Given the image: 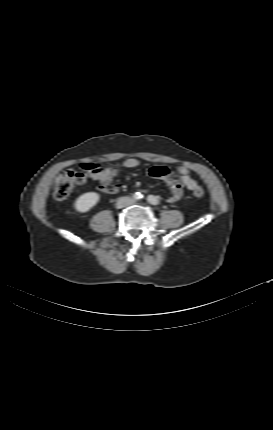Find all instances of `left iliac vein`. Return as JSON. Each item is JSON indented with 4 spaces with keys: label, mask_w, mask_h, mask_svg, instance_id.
Listing matches in <instances>:
<instances>
[{
    "label": "left iliac vein",
    "mask_w": 273,
    "mask_h": 430,
    "mask_svg": "<svg viewBox=\"0 0 273 430\" xmlns=\"http://www.w3.org/2000/svg\"><path fill=\"white\" fill-rule=\"evenodd\" d=\"M133 203H135V201H130V204H133Z\"/></svg>",
    "instance_id": "obj_1"
}]
</instances>
